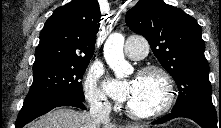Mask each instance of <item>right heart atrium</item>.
I'll use <instances>...</instances> for the list:
<instances>
[{"instance_id": "right-heart-atrium-1", "label": "right heart atrium", "mask_w": 221, "mask_h": 128, "mask_svg": "<svg viewBox=\"0 0 221 128\" xmlns=\"http://www.w3.org/2000/svg\"><path fill=\"white\" fill-rule=\"evenodd\" d=\"M103 75V69L91 67L85 76V97L92 107H107L105 95L98 86L99 80Z\"/></svg>"}]
</instances>
